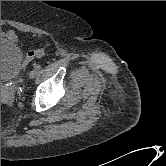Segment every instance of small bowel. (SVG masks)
<instances>
[{"mask_svg":"<svg viewBox=\"0 0 166 166\" xmlns=\"http://www.w3.org/2000/svg\"><path fill=\"white\" fill-rule=\"evenodd\" d=\"M2 36H6V37H8L11 40H16L17 39L16 34L14 32H12V31H9V32H6V33L1 31V37Z\"/></svg>","mask_w":166,"mask_h":166,"instance_id":"small-bowel-1","label":"small bowel"}]
</instances>
